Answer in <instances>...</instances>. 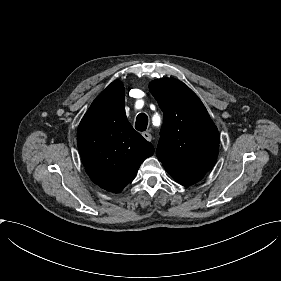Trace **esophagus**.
<instances>
[{"mask_svg":"<svg viewBox=\"0 0 281 281\" xmlns=\"http://www.w3.org/2000/svg\"><path fill=\"white\" fill-rule=\"evenodd\" d=\"M142 136L147 140L151 141L152 140V135L148 132H142Z\"/></svg>","mask_w":281,"mask_h":281,"instance_id":"obj_1","label":"esophagus"}]
</instances>
